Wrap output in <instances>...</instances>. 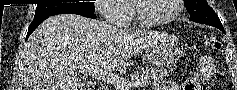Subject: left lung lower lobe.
<instances>
[{"mask_svg": "<svg viewBox=\"0 0 237 90\" xmlns=\"http://www.w3.org/2000/svg\"><path fill=\"white\" fill-rule=\"evenodd\" d=\"M220 30L223 31V32L225 33L224 28H223V29H220Z\"/></svg>", "mask_w": 237, "mask_h": 90, "instance_id": "1", "label": "left lung lower lobe"}]
</instances>
